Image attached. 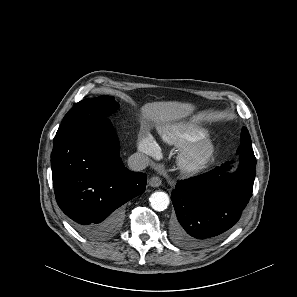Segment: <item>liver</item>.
<instances>
[{"mask_svg": "<svg viewBox=\"0 0 297 297\" xmlns=\"http://www.w3.org/2000/svg\"><path fill=\"white\" fill-rule=\"evenodd\" d=\"M193 110V105L176 101L147 103L142 107V121H152L158 125L167 124L185 118Z\"/></svg>", "mask_w": 297, "mask_h": 297, "instance_id": "6515ba94", "label": "liver"}]
</instances>
